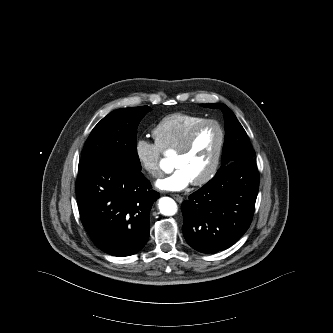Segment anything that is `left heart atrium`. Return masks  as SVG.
Returning a JSON list of instances; mask_svg holds the SVG:
<instances>
[{"label": "left heart atrium", "mask_w": 333, "mask_h": 333, "mask_svg": "<svg viewBox=\"0 0 333 333\" xmlns=\"http://www.w3.org/2000/svg\"><path fill=\"white\" fill-rule=\"evenodd\" d=\"M192 182L189 175L183 168H176L168 176L156 182L157 188L163 191H181Z\"/></svg>", "instance_id": "obj_1"}]
</instances>
